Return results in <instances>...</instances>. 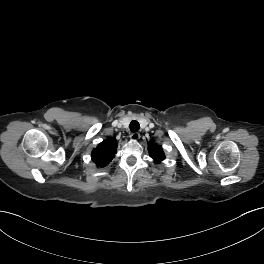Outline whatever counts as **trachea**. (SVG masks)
<instances>
[{
  "label": "trachea",
  "mask_w": 264,
  "mask_h": 264,
  "mask_svg": "<svg viewBox=\"0 0 264 264\" xmlns=\"http://www.w3.org/2000/svg\"><path fill=\"white\" fill-rule=\"evenodd\" d=\"M140 128V124L138 121L136 120H133L131 123H130V130L132 132H137Z\"/></svg>",
  "instance_id": "trachea-1"
}]
</instances>
